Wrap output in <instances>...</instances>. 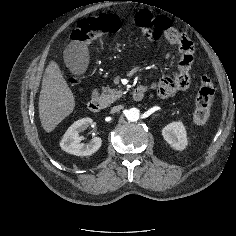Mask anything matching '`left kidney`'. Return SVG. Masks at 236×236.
Wrapping results in <instances>:
<instances>
[{
    "mask_svg": "<svg viewBox=\"0 0 236 236\" xmlns=\"http://www.w3.org/2000/svg\"><path fill=\"white\" fill-rule=\"evenodd\" d=\"M164 139L176 150H183L188 144L186 130L182 122H172L162 130Z\"/></svg>",
    "mask_w": 236,
    "mask_h": 236,
    "instance_id": "left-kidney-1",
    "label": "left kidney"
}]
</instances>
